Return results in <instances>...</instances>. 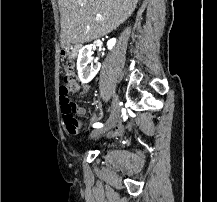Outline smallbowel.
Returning <instances> with one entry per match:
<instances>
[{
    "mask_svg": "<svg viewBox=\"0 0 217 202\" xmlns=\"http://www.w3.org/2000/svg\"><path fill=\"white\" fill-rule=\"evenodd\" d=\"M69 87L74 88L75 92H81L83 94H85V93H87L89 91V87L87 85H79L73 79L69 80ZM77 113L79 115L83 116V115H85L87 113V110H86L85 107L80 106V107H77ZM91 119L93 121H96L98 119V116L96 114H93L91 116ZM124 134H125V128H124L123 124L118 123L115 126L114 130L108 134V136H110V137H122V136H124Z\"/></svg>",
    "mask_w": 217,
    "mask_h": 202,
    "instance_id": "small-bowel-1",
    "label": "small bowel"
}]
</instances>
